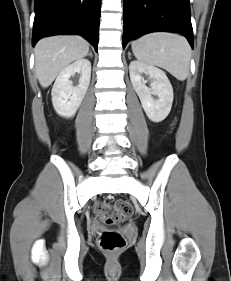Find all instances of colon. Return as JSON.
Wrapping results in <instances>:
<instances>
[{
  "label": "colon",
  "mask_w": 231,
  "mask_h": 281,
  "mask_svg": "<svg viewBox=\"0 0 231 281\" xmlns=\"http://www.w3.org/2000/svg\"><path fill=\"white\" fill-rule=\"evenodd\" d=\"M95 215L106 224H114L133 213L132 206L125 201L112 203L98 202L95 205ZM100 246L108 252H115L125 245L123 236L116 231H105L99 236Z\"/></svg>",
  "instance_id": "obj_1"
}]
</instances>
